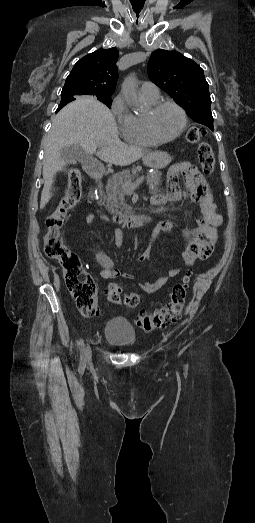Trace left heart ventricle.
I'll return each instance as SVG.
<instances>
[{
	"mask_svg": "<svg viewBox=\"0 0 255 523\" xmlns=\"http://www.w3.org/2000/svg\"><path fill=\"white\" fill-rule=\"evenodd\" d=\"M181 116L172 106L160 108L152 118V126L157 136L168 138L173 136L180 128Z\"/></svg>",
	"mask_w": 255,
	"mask_h": 523,
	"instance_id": "obj_1",
	"label": "left heart ventricle"
}]
</instances>
